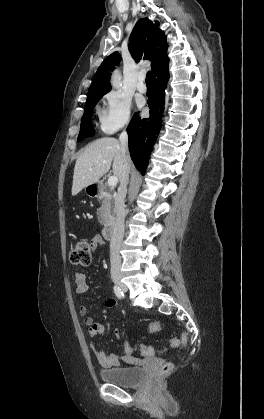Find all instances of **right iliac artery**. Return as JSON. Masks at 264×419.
Listing matches in <instances>:
<instances>
[{
    "label": "right iliac artery",
    "mask_w": 264,
    "mask_h": 419,
    "mask_svg": "<svg viewBox=\"0 0 264 419\" xmlns=\"http://www.w3.org/2000/svg\"><path fill=\"white\" fill-rule=\"evenodd\" d=\"M114 293L119 299H121L124 296L123 292L117 285L114 286Z\"/></svg>",
    "instance_id": "82829eb1"
}]
</instances>
